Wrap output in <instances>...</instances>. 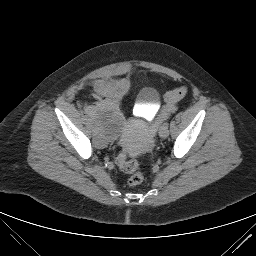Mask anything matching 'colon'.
Here are the masks:
<instances>
[{
	"label": "colon",
	"mask_w": 256,
	"mask_h": 256,
	"mask_svg": "<svg viewBox=\"0 0 256 256\" xmlns=\"http://www.w3.org/2000/svg\"><path fill=\"white\" fill-rule=\"evenodd\" d=\"M187 92L188 90L185 86H180L172 91H169L165 95V101L167 104L172 105L184 98ZM116 162L122 171L131 174L127 182L129 186L134 187L143 182L144 177L137 162L129 159L124 152L119 153L116 158Z\"/></svg>",
	"instance_id": "1"
}]
</instances>
